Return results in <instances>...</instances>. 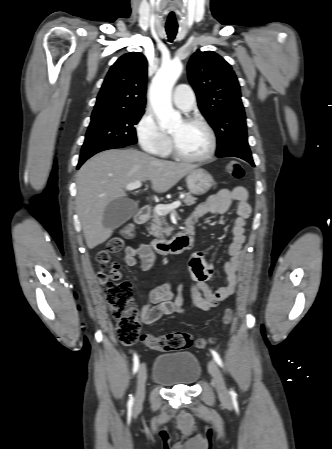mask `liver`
<instances>
[{"label": "liver", "mask_w": 332, "mask_h": 449, "mask_svg": "<svg viewBox=\"0 0 332 449\" xmlns=\"http://www.w3.org/2000/svg\"><path fill=\"white\" fill-rule=\"evenodd\" d=\"M195 168L155 159L135 149L107 150L89 159L76 179V206L88 248L112 235L113 227L103 225L104 210L113 200L126 196L127 184L150 180L154 191L164 193Z\"/></svg>", "instance_id": "6515ba94"}]
</instances>
